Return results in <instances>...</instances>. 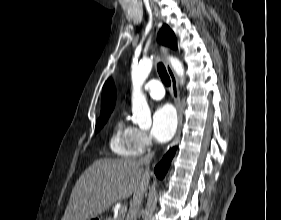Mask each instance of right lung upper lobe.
Returning a JSON list of instances; mask_svg holds the SVG:
<instances>
[{
    "mask_svg": "<svg viewBox=\"0 0 281 220\" xmlns=\"http://www.w3.org/2000/svg\"><path fill=\"white\" fill-rule=\"evenodd\" d=\"M115 87L109 79L103 86L100 116L110 115L115 105Z\"/></svg>",
    "mask_w": 281,
    "mask_h": 220,
    "instance_id": "1",
    "label": "right lung upper lobe"
}]
</instances>
